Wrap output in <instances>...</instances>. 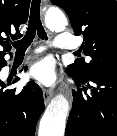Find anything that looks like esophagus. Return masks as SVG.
<instances>
[{"mask_svg":"<svg viewBox=\"0 0 117 136\" xmlns=\"http://www.w3.org/2000/svg\"><path fill=\"white\" fill-rule=\"evenodd\" d=\"M43 3H46V0H42ZM52 92L46 89H43V98H44V103L47 105L51 98H52Z\"/></svg>","mask_w":117,"mask_h":136,"instance_id":"esophagus-1","label":"esophagus"}]
</instances>
